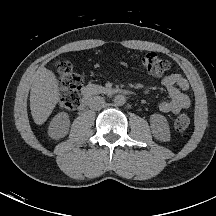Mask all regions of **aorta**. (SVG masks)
Here are the masks:
<instances>
[{"label":"aorta","mask_w":216,"mask_h":216,"mask_svg":"<svg viewBox=\"0 0 216 216\" xmlns=\"http://www.w3.org/2000/svg\"><path fill=\"white\" fill-rule=\"evenodd\" d=\"M116 105L122 106L126 103V97L122 94H118L113 99Z\"/></svg>","instance_id":"1"}]
</instances>
